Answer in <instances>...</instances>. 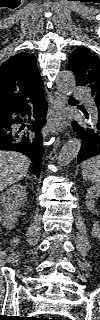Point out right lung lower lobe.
Listing matches in <instances>:
<instances>
[{"label": "right lung lower lobe", "mask_w": 100, "mask_h": 320, "mask_svg": "<svg viewBox=\"0 0 100 320\" xmlns=\"http://www.w3.org/2000/svg\"><path fill=\"white\" fill-rule=\"evenodd\" d=\"M46 110L47 105L42 92L30 102L21 104L0 118V150H14L25 154L33 162L32 174L36 176L40 175L44 153L41 129L45 124ZM16 114L32 115V117L27 120V125L18 129L15 125L26 122V119L15 117Z\"/></svg>", "instance_id": "obj_1"}]
</instances>
